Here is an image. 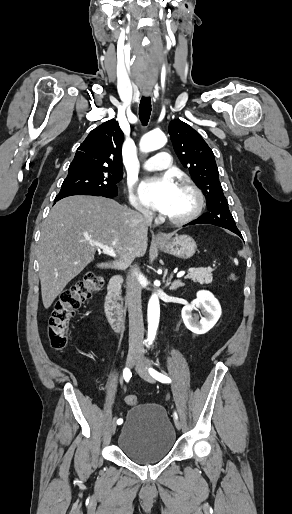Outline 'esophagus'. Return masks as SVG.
Here are the masks:
<instances>
[{
    "mask_svg": "<svg viewBox=\"0 0 292 514\" xmlns=\"http://www.w3.org/2000/svg\"><path fill=\"white\" fill-rule=\"evenodd\" d=\"M141 91H142L143 95H145L146 97H149L150 95H152V89H148V90H141ZM164 240H165V236H164V234H162V233H157V234L155 235V241H156V242H161V243H162V242H164Z\"/></svg>",
    "mask_w": 292,
    "mask_h": 514,
    "instance_id": "obj_1",
    "label": "esophagus"
}]
</instances>
